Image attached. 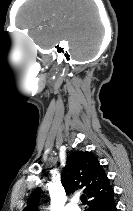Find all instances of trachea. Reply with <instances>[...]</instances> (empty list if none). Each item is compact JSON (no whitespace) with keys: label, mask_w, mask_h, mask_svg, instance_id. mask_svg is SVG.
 <instances>
[{"label":"trachea","mask_w":133,"mask_h":211,"mask_svg":"<svg viewBox=\"0 0 133 211\" xmlns=\"http://www.w3.org/2000/svg\"><path fill=\"white\" fill-rule=\"evenodd\" d=\"M85 200H86V195H82V196H81V201H82V202H85Z\"/></svg>","instance_id":"1"}]
</instances>
